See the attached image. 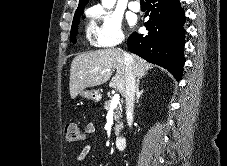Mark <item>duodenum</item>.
Listing matches in <instances>:
<instances>
[{"mask_svg":"<svg viewBox=\"0 0 227 166\" xmlns=\"http://www.w3.org/2000/svg\"><path fill=\"white\" fill-rule=\"evenodd\" d=\"M127 139L125 136H118L115 140V146L118 150H124L126 147Z\"/></svg>","mask_w":227,"mask_h":166,"instance_id":"duodenum-1","label":"duodenum"}]
</instances>
